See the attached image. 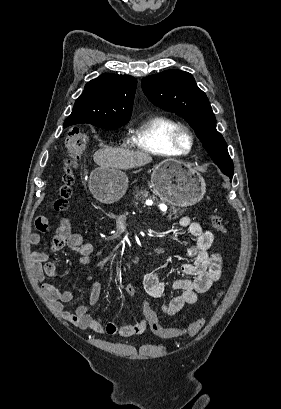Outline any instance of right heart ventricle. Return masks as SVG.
<instances>
[{
    "mask_svg": "<svg viewBox=\"0 0 281 409\" xmlns=\"http://www.w3.org/2000/svg\"><path fill=\"white\" fill-rule=\"evenodd\" d=\"M182 129L184 125L177 119L165 114H155L138 126L134 144L141 151L154 156H182L184 153L176 145V136Z\"/></svg>",
    "mask_w": 281,
    "mask_h": 409,
    "instance_id": "right-heart-ventricle-1",
    "label": "right heart ventricle"
}]
</instances>
